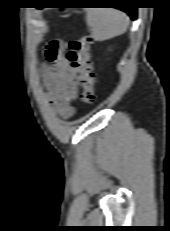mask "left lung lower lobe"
<instances>
[{
  "instance_id": "left-lung-lower-lobe-1",
  "label": "left lung lower lobe",
  "mask_w": 170,
  "mask_h": 231,
  "mask_svg": "<svg viewBox=\"0 0 170 231\" xmlns=\"http://www.w3.org/2000/svg\"><path fill=\"white\" fill-rule=\"evenodd\" d=\"M119 5L118 9H121L123 11H125L126 13H128L131 17V19L135 20L136 19V16H137V7H134V6H130V7H124V4H117Z\"/></svg>"
}]
</instances>
